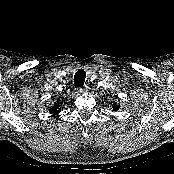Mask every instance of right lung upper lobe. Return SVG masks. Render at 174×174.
Segmentation results:
<instances>
[{
    "label": "right lung upper lobe",
    "instance_id": "cb5924a9",
    "mask_svg": "<svg viewBox=\"0 0 174 174\" xmlns=\"http://www.w3.org/2000/svg\"><path fill=\"white\" fill-rule=\"evenodd\" d=\"M59 105L55 104L54 106H52L50 109H49V112L50 113H53V114H57L59 113Z\"/></svg>",
    "mask_w": 174,
    "mask_h": 174
}]
</instances>
